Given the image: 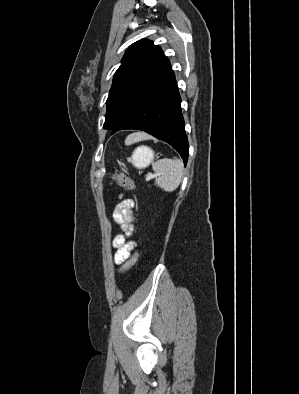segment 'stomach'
<instances>
[{"instance_id":"stomach-1","label":"stomach","mask_w":299,"mask_h":394,"mask_svg":"<svg viewBox=\"0 0 299 394\" xmlns=\"http://www.w3.org/2000/svg\"><path fill=\"white\" fill-rule=\"evenodd\" d=\"M153 158V151L146 146H141L134 151L131 162L135 167L143 168L148 166L153 160Z\"/></svg>"}]
</instances>
